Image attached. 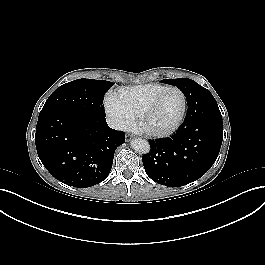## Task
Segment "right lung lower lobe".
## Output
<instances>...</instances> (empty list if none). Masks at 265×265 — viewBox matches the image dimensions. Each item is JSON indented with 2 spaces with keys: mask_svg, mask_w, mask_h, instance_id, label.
Returning a JSON list of instances; mask_svg holds the SVG:
<instances>
[{
  "mask_svg": "<svg viewBox=\"0 0 265 265\" xmlns=\"http://www.w3.org/2000/svg\"><path fill=\"white\" fill-rule=\"evenodd\" d=\"M105 116L69 109L40 112L35 135L37 153L53 177L77 188L106 179L125 134L110 128Z\"/></svg>",
  "mask_w": 265,
  "mask_h": 265,
  "instance_id": "right-lung-lower-lobe-1",
  "label": "right lung lower lobe"
}]
</instances>
